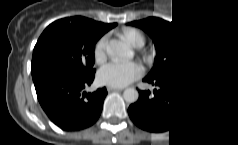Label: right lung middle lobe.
Segmentation results:
<instances>
[{
  "mask_svg": "<svg viewBox=\"0 0 238 145\" xmlns=\"http://www.w3.org/2000/svg\"><path fill=\"white\" fill-rule=\"evenodd\" d=\"M103 33L79 17L57 20L39 37L31 67L58 64L81 73L94 72V49Z\"/></svg>",
  "mask_w": 238,
  "mask_h": 145,
  "instance_id": "1",
  "label": "right lung middle lobe"
}]
</instances>
